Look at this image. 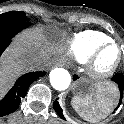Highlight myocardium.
Listing matches in <instances>:
<instances>
[{
    "mask_svg": "<svg viewBox=\"0 0 124 124\" xmlns=\"http://www.w3.org/2000/svg\"><path fill=\"white\" fill-rule=\"evenodd\" d=\"M114 47L118 51V59L116 63L108 70L101 71L97 68V62L100 56L109 48ZM124 61V50L117 43L110 41L99 45L90 55L86 62L88 75L97 81H103L111 78L119 70L122 62Z\"/></svg>",
    "mask_w": 124,
    "mask_h": 124,
    "instance_id": "obj_1",
    "label": "myocardium"
}]
</instances>
